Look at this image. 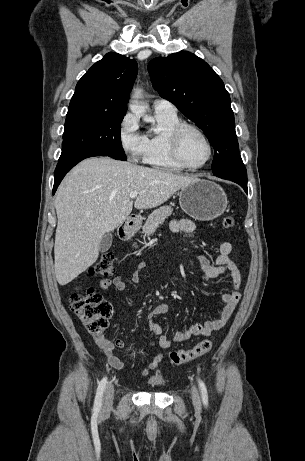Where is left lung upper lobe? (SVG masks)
<instances>
[{
	"label": "left lung upper lobe",
	"instance_id": "left-lung-upper-lobe-1",
	"mask_svg": "<svg viewBox=\"0 0 305 461\" xmlns=\"http://www.w3.org/2000/svg\"><path fill=\"white\" fill-rule=\"evenodd\" d=\"M153 87L196 123L214 147L213 174L247 180L235 132L230 96L220 77L202 59L178 52L150 61Z\"/></svg>",
	"mask_w": 305,
	"mask_h": 461
}]
</instances>
